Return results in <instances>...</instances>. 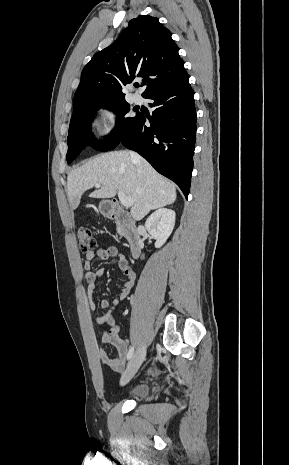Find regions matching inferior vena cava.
Returning a JSON list of instances; mask_svg holds the SVG:
<instances>
[{
    "mask_svg": "<svg viewBox=\"0 0 289 465\" xmlns=\"http://www.w3.org/2000/svg\"><path fill=\"white\" fill-rule=\"evenodd\" d=\"M130 156H131V159H132V161H133L134 163L138 164V163L140 162V158H141V157H140L137 153L131 151V152H130Z\"/></svg>",
    "mask_w": 289,
    "mask_h": 465,
    "instance_id": "1",
    "label": "inferior vena cava"
}]
</instances>
